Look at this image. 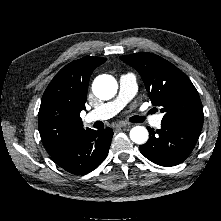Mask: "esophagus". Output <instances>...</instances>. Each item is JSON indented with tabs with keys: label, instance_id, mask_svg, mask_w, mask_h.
I'll return each mask as SVG.
<instances>
[{
	"label": "esophagus",
	"instance_id": "1",
	"mask_svg": "<svg viewBox=\"0 0 221 221\" xmlns=\"http://www.w3.org/2000/svg\"><path fill=\"white\" fill-rule=\"evenodd\" d=\"M124 127H130V124L127 123V122H119L117 125H116V128H124Z\"/></svg>",
	"mask_w": 221,
	"mask_h": 221
}]
</instances>
